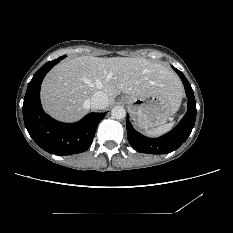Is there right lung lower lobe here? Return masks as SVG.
Segmentation results:
<instances>
[{"instance_id": "98d812e1", "label": "right lung lower lobe", "mask_w": 233, "mask_h": 233, "mask_svg": "<svg viewBox=\"0 0 233 233\" xmlns=\"http://www.w3.org/2000/svg\"><path fill=\"white\" fill-rule=\"evenodd\" d=\"M60 59L45 63L33 76L23 103L25 127L35 143L48 153L71 155L86 151L93 141L97 125L106 113H89L76 123L54 120L42 109L40 88L45 75Z\"/></svg>"}]
</instances>
